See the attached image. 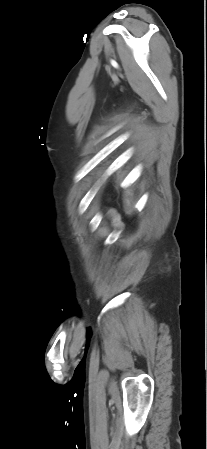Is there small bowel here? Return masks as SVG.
<instances>
[{
  "mask_svg": "<svg viewBox=\"0 0 207 449\" xmlns=\"http://www.w3.org/2000/svg\"><path fill=\"white\" fill-rule=\"evenodd\" d=\"M113 222H114V224H115L116 226H119V225H120V221H119V219H118L116 216L113 217Z\"/></svg>",
  "mask_w": 207,
  "mask_h": 449,
  "instance_id": "small-bowel-1",
  "label": "small bowel"
}]
</instances>
